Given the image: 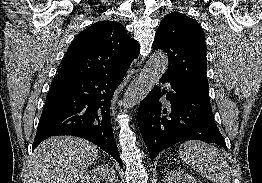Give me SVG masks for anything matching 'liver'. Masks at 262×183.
Here are the masks:
<instances>
[{
	"label": "liver",
	"instance_id": "6515ba94",
	"mask_svg": "<svg viewBox=\"0 0 262 183\" xmlns=\"http://www.w3.org/2000/svg\"><path fill=\"white\" fill-rule=\"evenodd\" d=\"M98 156L97 146L74 136H54L34 150L28 183H76Z\"/></svg>",
	"mask_w": 262,
	"mask_h": 183
}]
</instances>
